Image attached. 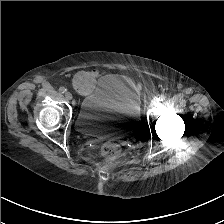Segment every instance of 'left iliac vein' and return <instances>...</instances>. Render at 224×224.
<instances>
[{
  "label": "left iliac vein",
  "mask_w": 224,
  "mask_h": 224,
  "mask_svg": "<svg viewBox=\"0 0 224 224\" xmlns=\"http://www.w3.org/2000/svg\"><path fill=\"white\" fill-rule=\"evenodd\" d=\"M151 107H155L158 105V99L157 98H154L151 103H150Z\"/></svg>",
  "instance_id": "4c4485c4"
}]
</instances>
